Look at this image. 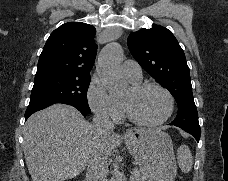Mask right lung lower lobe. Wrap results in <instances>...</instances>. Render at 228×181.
<instances>
[{
  "label": "right lung lower lobe",
  "instance_id": "98d812e1",
  "mask_svg": "<svg viewBox=\"0 0 228 181\" xmlns=\"http://www.w3.org/2000/svg\"><path fill=\"white\" fill-rule=\"evenodd\" d=\"M52 104H55V103H52ZM52 104H44V105H35V106H28L26 112H25V120H27V118L33 114L34 112L38 111V110H41V109H44ZM83 116H87L88 113H84V112H81Z\"/></svg>",
  "mask_w": 228,
  "mask_h": 181
}]
</instances>
